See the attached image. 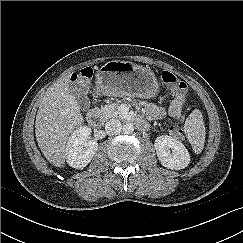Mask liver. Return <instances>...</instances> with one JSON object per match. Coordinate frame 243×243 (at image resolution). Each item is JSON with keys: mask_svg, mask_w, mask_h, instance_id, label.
<instances>
[{"mask_svg": "<svg viewBox=\"0 0 243 243\" xmlns=\"http://www.w3.org/2000/svg\"><path fill=\"white\" fill-rule=\"evenodd\" d=\"M69 81L66 76L48 88L35 121L40 150L51 164L60 168L66 161L65 149L70 135L84 121L80 106L70 92Z\"/></svg>", "mask_w": 243, "mask_h": 243, "instance_id": "liver-1", "label": "liver"}]
</instances>
